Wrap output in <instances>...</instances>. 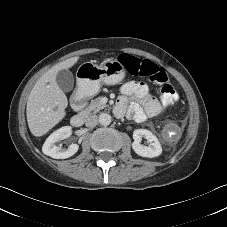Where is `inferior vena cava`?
<instances>
[{
    "instance_id": "inferior-vena-cava-1",
    "label": "inferior vena cava",
    "mask_w": 227,
    "mask_h": 227,
    "mask_svg": "<svg viewBox=\"0 0 227 227\" xmlns=\"http://www.w3.org/2000/svg\"><path fill=\"white\" fill-rule=\"evenodd\" d=\"M98 124V118L96 115H91L89 116L86 121H85V125L89 128H93Z\"/></svg>"
}]
</instances>
